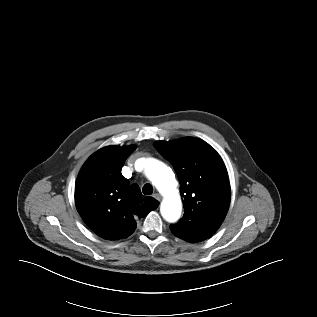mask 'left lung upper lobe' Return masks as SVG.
Segmentation results:
<instances>
[{
  "label": "left lung upper lobe",
  "mask_w": 317,
  "mask_h": 317,
  "mask_svg": "<svg viewBox=\"0 0 317 317\" xmlns=\"http://www.w3.org/2000/svg\"><path fill=\"white\" fill-rule=\"evenodd\" d=\"M154 147L172 164L180 182L185 213L174 226L197 221L221 224L230 204V183L220 155L208 143L192 137L157 141Z\"/></svg>",
  "instance_id": "1"
}]
</instances>
